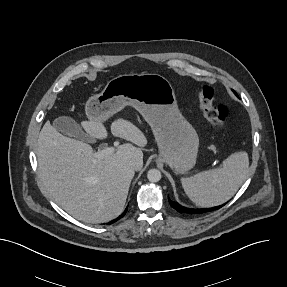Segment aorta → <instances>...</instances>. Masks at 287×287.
Listing matches in <instances>:
<instances>
[{"mask_svg":"<svg viewBox=\"0 0 287 287\" xmlns=\"http://www.w3.org/2000/svg\"><path fill=\"white\" fill-rule=\"evenodd\" d=\"M147 178L150 182H158L161 179V172L158 169H150Z\"/></svg>","mask_w":287,"mask_h":287,"instance_id":"1","label":"aorta"}]
</instances>
